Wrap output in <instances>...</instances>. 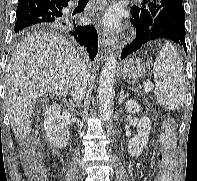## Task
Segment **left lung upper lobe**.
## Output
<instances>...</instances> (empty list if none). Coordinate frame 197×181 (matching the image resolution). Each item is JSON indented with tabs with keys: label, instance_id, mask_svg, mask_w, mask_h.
<instances>
[{
	"label": "left lung upper lobe",
	"instance_id": "5c2ea615",
	"mask_svg": "<svg viewBox=\"0 0 197 181\" xmlns=\"http://www.w3.org/2000/svg\"><path fill=\"white\" fill-rule=\"evenodd\" d=\"M183 3V0H146L142 6L131 8V20L142 24H149L160 10L165 7Z\"/></svg>",
	"mask_w": 197,
	"mask_h": 181
}]
</instances>
